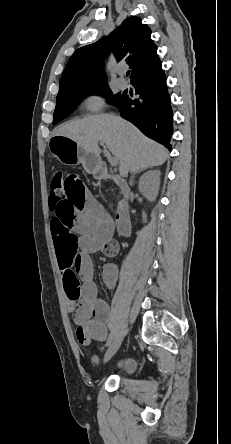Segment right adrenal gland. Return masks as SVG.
I'll return each mask as SVG.
<instances>
[{"label": "right adrenal gland", "mask_w": 231, "mask_h": 444, "mask_svg": "<svg viewBox=\"0 0 231 444\" xmlns=\"http://www.w3.org/2000/svg\"><path fill=\"white\" fill-rule=\"evenodd\" d=\"M144 170H146V168L140 169V170H138V171H136V172H134V173L132 174V176H131V178H130V185H131V186L133 185V179H134L135 175L138 174V173H140V172H142V171H144Z\"/></svg>", "instance_id": "right-adrenal-gland-1"}]
</instances>
